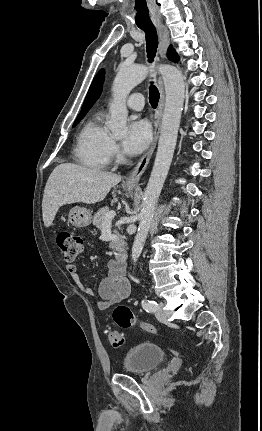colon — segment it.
<instances>
[{"mask_svg": "<svg viewBox=\"0 0 262 431\" xmlns=\"http://www.w3.org/2000/svg\"><path fill=\"white\" fill-rule=\"evenodd\" d=\"M57 244L63 260L67 263H72L83 252L85 242L83 237L76 233L62 231L57 236ZM113 319L121 327L138 325L141 330L147 333H157L155 326L138 321L131 309L126 305H119L114 309ZM108 339L113 347H120L124 344L122 335L115 329L108 330Z\"/></svg>", "mask_w": 262, "mask_h": 431, "instance_id": "1", "label": "colon"}]
</instances>
